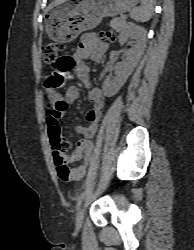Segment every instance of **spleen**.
<instances>
[{"instance_id": "obj_1", "label": "spleen", "mask_w": 194, "mask_h": 250, "mask_svg": "<svg viewBox=\"0 0 194 250\" xmlns=\"http://www.w3.org/2000/svg\"><path fill=\"white\" fill-rule=\"evenodd\" d=\"M141 6L130 12V17L137 22L149 21L153 14L154 0H140Z\"/></svg>"}]
</instances>
